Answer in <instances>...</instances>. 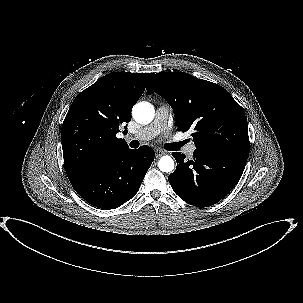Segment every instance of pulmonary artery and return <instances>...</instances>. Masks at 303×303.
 Instances as JSON below:
<instances>
[{"instance_id":"obj_1","label":"pulmonary artery","mask_w":303,"mask_h":303,"mask_svg":"<svg viewBox=\"0 0 303 303\" xmlns=\"http://www.w3.org/2000/svg\"><path fill=\"white\" fill-rule=\"evenodd\" d=\"M169 119V107L166 105L160 106L155 114L154 121L142 128L138 133L129 135L128 140L148 141L153 139L158 133L164 131L167 128ZM195 144H189L184 148V153L191 157L195 152Z\"/></svg>"}]
</instances>
